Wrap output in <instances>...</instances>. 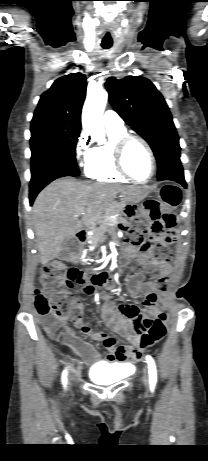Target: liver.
I'll list each match as a JSON object with an SVG mask.
<instances>
[{
    "instance_id": "1",
    "label": "liver",
    "mask_w": 208,
    "mask_h": 461,
    "mask_svg": "<svg viewBox=\"0 0 208 461\" xmlns=\"http://www.w3.org/2000/svg\"><path fill=\"white\" fill-rule=\"evenodd\" d=\"M133 189L72 178H60L49 184L33 205L40 262L44 265L58 257L66 238L98 221L118 193L126 194Z\"/></svg>"
}]
</instances>
